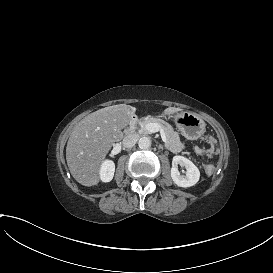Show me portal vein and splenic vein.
Instances as JSON below:
<instances>
[{"mask_svg": "<svg viewBox=\"0 0 273 273\" xmlns=\"http://www.w3.org/2000/svg\"><path fill=\"white\" fill-rule=\"evenodd\" d=\"M144 130L148 131L149 133H156L160 130V127L156 123H147L144 125ZM161 138L164 143H167V139L163 131H161Z\"/></svg>", "mask_w": 273, "mask_h": 273, "instance_id": "18ae733b", "label": "portal vein and splenic vein"}]
</instances>
